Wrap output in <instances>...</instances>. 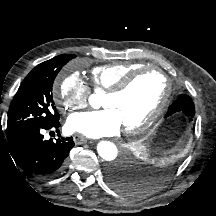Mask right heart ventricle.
Returning <instances> with one entry per match:
<instances>
[{
  "mask_svg": "<svg viewBox=\"0 0 216 216\" xmlns=\"http://www.w3.org/2000/svg\"><path fill=\"white\" fill-rule=\"evenodd\" d=\"M142 67L136 62L119 61L98 65L91 69L90 75L96 89L107 91L114 87L128 73Z\"/></svg>",
  "mask_w": 216,
  "mask_h": 216,
  "instance_id": "right-heart-ventricle-1",
  "label": "right heart ventricle"
}]
</instances>
